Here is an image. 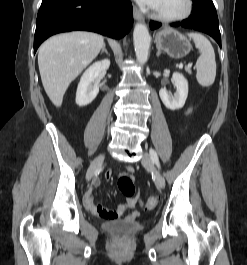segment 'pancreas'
<instances>
[{"instance_id":"cf45deb5","label":"pancreas","mask_w":247,"mask_h":265,"mask_svg":"<svg viewBox=\"0 0 247 265\" xmlns=\"http://www.w3.org/2000/svg\"><path fill=\"white\" fill-rule=\"evenodd\" d=\"M186 71L191 74V69L190 68H186Z\"/></svg>"}]
</instances>
